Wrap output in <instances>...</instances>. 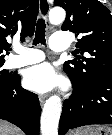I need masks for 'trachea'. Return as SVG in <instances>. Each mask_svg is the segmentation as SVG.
<instances>
[{
    "instance_id": "3493384b",
    "label": "trachea",
    "mask_w": 112,
    "mask_h": 135,
    "mask_svg": "<svg viewBox=\"0 0 112 135\" xmlns=\"http://www.w3.org/2000/svg\"><path fill=\"white\" fill-rule=\"evenodd\" d=\"M45 42H46V40H45V21L42 18H40L37 21L35 38L33 40V44L37 45V44L41 43V44L45 45Z\"/></svg>"
}]
</instances>
